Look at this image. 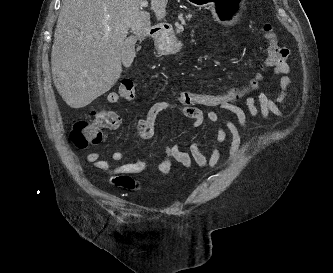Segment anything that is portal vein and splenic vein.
Wrapping results in <instances>:
<instances>
[{
    "mask_svg": "<svg viewBox=\"0 0 333 273\" xmlns=\"http://www.w3.org/2000/svg\"><path fill=\"white\" fill-rule=\"evenodd\" d=\"M147 6H148V2L146 0H144L140 3V8L141 9L144 8V7H147Z\"/></svg>",
    "mask_w": 333,
    "mask_h": 273,
    "instance_id": "18ae733b",
    "label": "portal vein and splenic vein"
}]
</instances>
